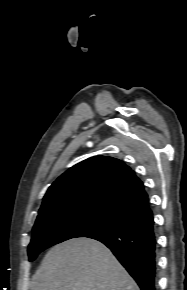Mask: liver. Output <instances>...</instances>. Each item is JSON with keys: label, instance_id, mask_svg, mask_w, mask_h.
Wrapping results in <instances>:
<instances>
[{"label": "liver", "instance_id": "1", "mask_svg": "<svg viewBox=\"0 0 187 290\" xmlns=\"http://www.w3.org/2000/svg\"><path fill=\"white\" fill-rule=\"evenodd\" d=\"M31 290H140L101 242L74 238L51 248L32 278Z\"/></svg>", "mask_w": 187, "mask_h": 290}]
</instances>
